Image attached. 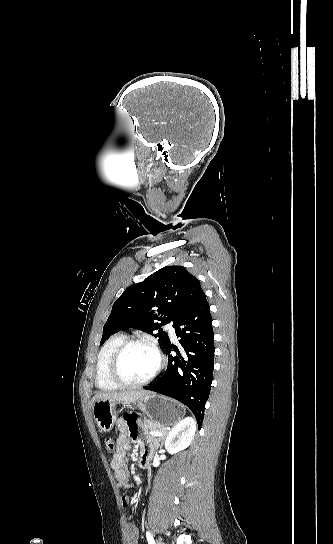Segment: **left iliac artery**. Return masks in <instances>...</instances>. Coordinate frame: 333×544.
Wrapping results in <instances>:
<instances>
[{
	"label": "left iliac artery",
	"mask_w": 333,
	"mask_h": 544,
	"mask_svg": "<svg viewBox=\"0 0 333 544\" xmlns=\"http://www.w3.org/2000/svg\"><path fill=\"white\" fill-rule=\"evenodd\" d=\"M146 538H147L148 544H155V540L149 531H146Z\"/></svg>",
	"instance_id": "left-iliac-artery-1"
}]
</instances>
